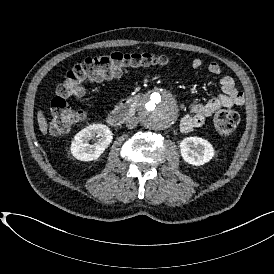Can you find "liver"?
<instances>
[{"label": "liver", "instance_id": "1", "mask_svg": "<svg viewBox=\"0 0 274 274\" xmlns=\"http://www.w3.org/2000/svg\"><path fill=\"white\" fill-rule=\"evenodd\" d=\"M37 121H38L40 131L43 133V135H46L48 124H47V121H46L42 111H38Z\"/></svg>", "mask_w": 274, "mask_h": 274}]
</instances>
